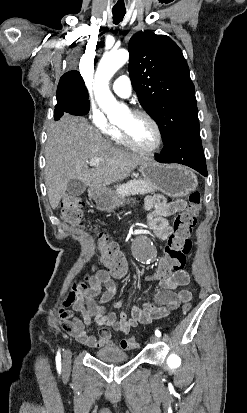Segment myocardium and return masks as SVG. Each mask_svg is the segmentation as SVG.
<instances>
[{"label":"myocardium","mask_w":247,"mask_h":413,"mask_svg":"<svg viewBox=\"0 0 247 413\" xmlns=\"http://www.w3.org/2000/svg\"><path fill=\"white\" fill-rule=\"evenodd\" d=\"M136 117H142L145 118L150 125L156 129L157 131V135H158V140L156 142L155 145L151 146V147H145L141 144H139L131 135L130 133L124 129L119 127V133L121 135V138L123 139V141L132 149L144 153V154H151V153H155L157 151H159L163 145H164V141H165V136H164V132L162 130V128L160 127V125L157 123V121L145 110H137L134 111L133 113Z\"/></svg>","instance_id":"obj_1"}]
</instances>
